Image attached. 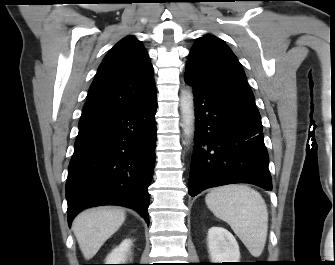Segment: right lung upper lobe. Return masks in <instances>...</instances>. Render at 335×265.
Instances as JSON below:
<instances>
[{
    "label": "right lung upper lobe",
    "instance_id": "obj_1",
    "mask_svg": "<svg viewBox=\"0 0 335 265\" xmlns=\"http://www.w3.org/2000/svg\"><path fill=\"white\" fill-rule=\"evenodd\" d=\"M154 97L156 89L148 53L140 41L127 36L99 66L81 118L136 107Z\"/></svg>",
    "mask_w": 335,
    "mask_h": 265
}]
</instances>
